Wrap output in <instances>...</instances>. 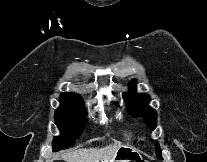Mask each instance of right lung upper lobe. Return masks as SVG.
<instances>
[{"label": "right lung upper lobe", "mask_w": 207, "mask_h": 162, "mask_svg": "<svg viewBox=\"0 0 207 162\" xmlns=\"http://www.w3.org/2000/svg\"><path fill=\"white\" fill-rule=\"evenodd\" d=\"M60 98L81 99L79 95L73 93H62Z\"/></svg>", "instance_id": "cb5924a9"}]
</instances>
